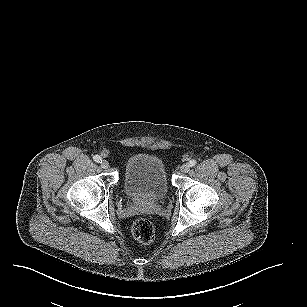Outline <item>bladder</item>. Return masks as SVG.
Returning a JSON list of instances; mask_svg holds the SVG:
<instances>
[{
  "instance_id": "obj_1",
  "label": "bladder",
  "mask_w": 307,
  "mask_h": 307,
  "mask_svg": "<svg viewBox=\"0 0 307 307\" xmlns=\"http://www.w3.org/2000/svg\"><path fill=\"white\" fill-rule=\"evenodd\" d=\"M131 199H162L168 193V182L162 159L153 155L138 154L128 160L123 177Z\"/></svg>"
}]
</instances>
